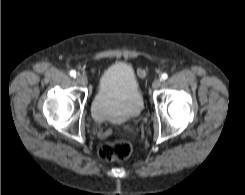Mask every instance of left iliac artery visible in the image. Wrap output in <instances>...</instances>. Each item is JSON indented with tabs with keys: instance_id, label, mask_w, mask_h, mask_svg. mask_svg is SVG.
<instances>
[{
	"instance_id": "obj_1",
	"label": "left iliac artery",
	"mask_w": 245,
	"mask_h": 195,
	"mask_svg": "<svg viewBox=\"0 0 245 195\" xmlns=\"http://www.w3.org/2000/svg\"><path fill=\"white\" fill-rule=\"evenodd\" d=\"M167 77H168V75H167L166 73H163V74L161 75V79H162V80L167 79Z\"/></svg>"
}]
</instances>
